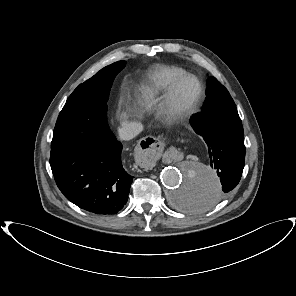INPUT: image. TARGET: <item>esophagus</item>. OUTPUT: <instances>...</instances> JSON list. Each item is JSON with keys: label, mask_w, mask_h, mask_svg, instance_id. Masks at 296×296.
Listing matches in <instances>:
<instances>
[{"label": "esophagus", "mask_w": 296, "mask_h": 296, "mask_svg": "<svg viewBox=\"0 0 296 296\" xmlns=\"http://www.w3.org/2000/svg\"><path fill=\"white\" fill-rule=\"evenodd\" d=\"M143 140L136 150V163L142 169H149L161 160L165 145L158 138L149 137Z\"/></svg>", "instance_id": "obj_1"}]
</instances>
